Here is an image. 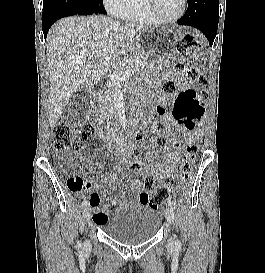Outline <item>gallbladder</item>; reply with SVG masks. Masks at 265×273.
Listing matches in <instances>:
<instances>
[{
  "label": "gallbladder",
  "instance_id": "gallbladder-1",
  "mask_svg": "<svg viewBox=\"0 0 265 273\" xmlns=\"http://www.w3.org/2000/svg\"><path fill=\"white\" fill-rule=\"evenodd\" d=\"M91 95L88 89H80L73 94L63 112V118L69 123L77 122L84 117L89 108Z\"/></svg>",
  "mask_w": 265,
  "mask_h": 273
}]
</instances>
